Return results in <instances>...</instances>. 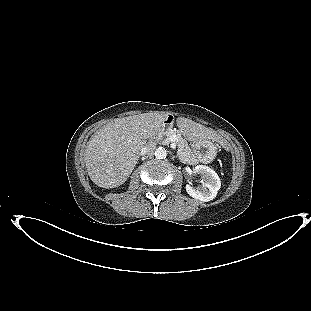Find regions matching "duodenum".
I'll return each instance as SVG.
<instances>
[{"label": "duodenum", "mask_w": 311, "mask_h": 311, "mask_svg": "<svg viewBox=\"0 0 311 311\" xmlns=\"http://www.w3.org/2000/svg\"><path fill=\"white\" fill-rule=\"evenodd\" d=\"M165 123H166V124H169V123H170V120H167Z\"/></svg>", "instance_id": "duodenum-1"}]
</instances>
